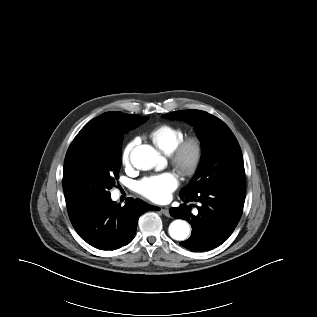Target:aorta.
<instances>
[{"label": "aorta", "instance_id": "aorta-1", "mask_svg": "<svg viewBox=\"0 0 317 317\" xmlns=\"http://www.w3.org/2000/svg\"><path fill=\"white\" fill-rule=\"evenodd\" d=\"M130 159L132 165L140 170H150L165 163L159 152L145 144L135 147L131 151ZM168 232L172 239L183 241L190 234V226L186 221L176 219L169 225Z\"/></svg>", "mask_w": 317, "mask_h": 317}]
</instances>
